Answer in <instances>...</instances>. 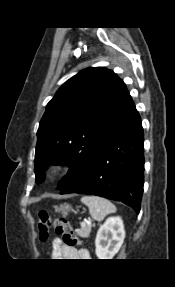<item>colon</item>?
I'll list each match as a JSON object with an SVG mask.
<instances>
[{
	"instance_id": "1",
	"label": "colon",
	"mask_w": 175,
	"mask_h": 287,
	"mask_svg": "<svg viewBox=\"0 0 175 287\" xmlns=\"http://www.w3.org/2000/svg\"><path fill=\"white\" fill-rule=\"evenodd\" d=\"M38 230L42 241L48 240L51 231L55 230L56 234L61 237L63 243L67 246L74 247L83 243L67 219L53 218L47 211L38 213Z\"/></svg>"
}]
</instances>
